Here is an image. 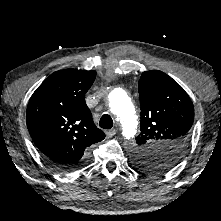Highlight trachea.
<instances>
[{"instance_id":"1","label":"trachea","mask_w":221,"mask_h":221,"mask_svg":"<svg viewBox=\"0 0 221 221\" xmlns=\"http://www.w3.org/2000/svg\"><path fill=\"white\" fill-rule=\"evenodd\" d=\"M99 126L103 129H111L113 127V120L111 116L104 114L100 119Z\"/></svg>"}]
</instances>
